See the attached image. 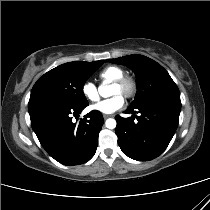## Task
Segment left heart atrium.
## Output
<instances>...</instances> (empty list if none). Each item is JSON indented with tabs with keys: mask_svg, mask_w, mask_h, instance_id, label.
I'll return each instance as SVG.
<instances>
[{
	"mask_svg": "<svg viewBox=\"0 0 210 210\" xmlns=\"http://www.w3.org/2000/svg\"><path fill=\"white\" fill-rule=\"evenodd\" d=\"M123 105L124 98L120 94H117L112 98L102 100L97 104L92 105L90 109L103 114H112L121 109Z\"/></svg>",
	"mask_w": 210,
	"mask_h": 210,
	"instance_id": "39dd6f15",
	"label": "left heart atrium"
}]
</instances>
